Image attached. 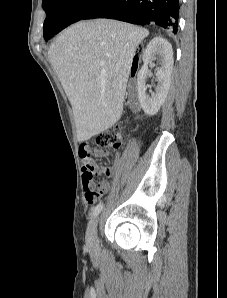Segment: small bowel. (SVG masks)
Wrapping results in <instances>:
<instances>
[{"instance_id":"1","label":"small bowel","mask_w":227,"mask_h":298,"mask_svg":"<svg viewBox=\"0 0 227 298\" xmlns=\"http://www.w3.org/2000/svg\"><path fill=\"white\" fill-rule=\"evenodd\" d=\"M134 109L137 110L138 106L134 105ZM78 147L80 150L79 157L83 163L82 183L84 190L87 188L95 189L99 196L104 195L110 188L108 181H101L96 189L93 183V176L95 174L104 175L106 177L112 176L119 167L120 160H117L112 166L97 165L92 159L93 155L97 157L107 156L108 152L106 150L100 149V146H89V142H78Z\"/></svg>"}]
</instances>
